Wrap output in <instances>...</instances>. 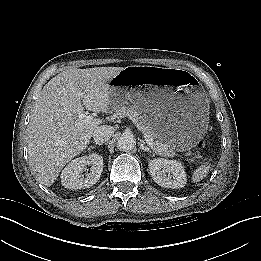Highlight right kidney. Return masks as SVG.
<instances>
[{
  "mask_svg": "<svg viewBox=\"0 0 261 261\" xmlns=\"http://www.w3.org/2000/svg\"><path fill=\"white\" fill-rule=\"evenodd\" d=\"M91 166V172L82 174L86 166ZM103 157L92 153L72 160L61 173V183L68 189H84L96 184L103 171Z\"/></svg>",
  "mask_w": 261,
  "mask_h": 261,
  "instance_id": "ca27d5eb",
  "label": "right kidney"
}]
</instances>
